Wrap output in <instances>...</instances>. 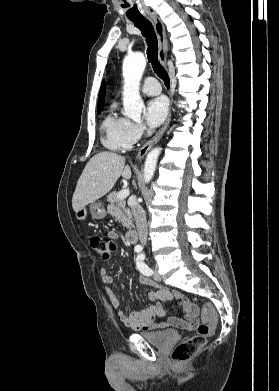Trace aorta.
I'll list each match as a JSON object with an SVG mask.
<instances>
[{"label": "aorta", "mask_w": 279, "mask_h": 391, "mask_svg": "<svg viewBox=\"0 0 279 391\" xmlns=\"http://www.w3.org/2000/svg\"><path fill=\"white\" fill-rule=\"evenodd\" d=\"M145 67L146 59L144 54L141 52L129 54L124 58V114L134 121H139L141 119V113L144 108V102L139 93V85ZM160 152L161 148L156 147L152 149L146 157L143 174L145 183H149L154 176Z\"/></svg>", "instance_id": "1"}]
</instances>
